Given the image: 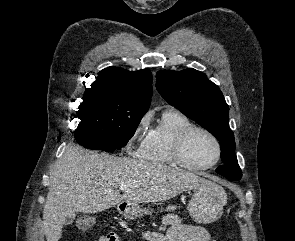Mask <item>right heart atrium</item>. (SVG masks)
Returning <instances> with one entry per match:
<instances>
[{
  "instance_id": "right-heart-atrium-1",
  "label": "right heart atrium",
  "mask_w": 295,
  "mask_h": 241,
  "mask_svg": "<svg viewBox=\"0 0 295 241\" xmlns=\"http://www.w3.org/2000/svg\"><path fill=\"white\" fill-rule=\"evenodd\" d=\"M150 113L143 114L136 122L127 144L128 150H132L136 142L144 139L149 132Z\"/></svg>"
}]
</instances>
